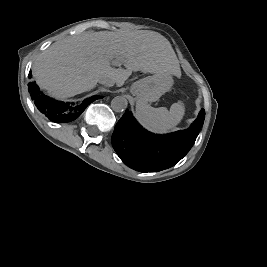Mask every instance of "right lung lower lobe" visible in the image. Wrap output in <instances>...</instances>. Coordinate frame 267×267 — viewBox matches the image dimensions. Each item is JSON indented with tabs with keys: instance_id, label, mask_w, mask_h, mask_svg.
Returning a JSON list of instances; mask_svg holds the SVG:
<instances>
[{
	"instance_id": "right-lung-lower-lobe-1",
	"label": "right lung lower lobe",
	"mask_w": 267,
	"mask_h": 267,
	"mask_svg": "<svg viewBox=\"0 0 267 267\" xmlns=\"http://www.w3.org/2000/svg\"><path fill=\"white\" fill-rule=\"evenodd\" d=\"M31 77L32 75L29 73V78ZM28 86L31 99L33 100L37 109L47 116L51 121L59 123L75 120L82 114V112L90 103L96 99L102 98V96H93L84 100L81 104L73 106L70 103L57 101L42 94L39 87L34 82L29 83Z\"/></svg>"
}]
</instances>
